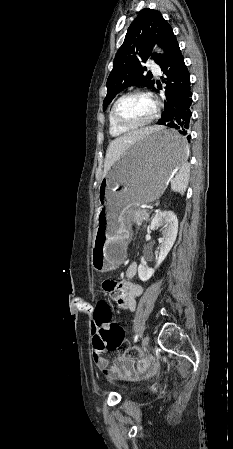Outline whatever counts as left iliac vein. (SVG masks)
Segmentation results:
<instances>
[{
	"label": "left iliac vein",
	"mask_w": 233,
	"mask_h": 449,
	"mask_svg": "<svg viewBox=\"0 0 233 449\" xmlns=\"http://www.w3.org/2000/svg\"><path fill=\"white\" fill-rule=\"evenodd\" d=\"M149 341H150V336H149V335H146V336L143 338L142 343H141L142 349H143V350H145V349L147 348V346H148V344H149Z\"/></svg>",
	"instance_id": "4c4485c4"
}]
</instances>
